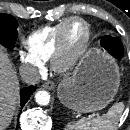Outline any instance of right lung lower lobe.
Returning a JSON list of instances; mask_svg holds the SVG:
<instances>
[{
	"mask_svg": "<svg viewBox=\"0 0 130 130\" xmlns=\"http://www.w3.org/2000/svg\"><path fill=\"white\" fill-rule=\"evenodd\" d=\"M36 88L37 86H29V87L23 88L20 91L21 108H23L25 103L29 100L30 96L33 94ZM16 130H18V127L16 128Z\"/></svg>",
	"mask_w": 130,
	"mask_h": 130,
	"instance_id": "obj_1",
	"label": "right lung lower lobe"
}]
</instances>
